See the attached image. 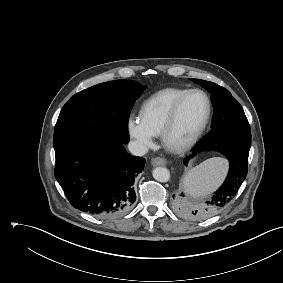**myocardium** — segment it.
<instances>
[{
  "label": "myocardium",
  "instance_id": "f54148a6",
  "mask_svg": "<svg viewBox=\"0 0 283 283\" xmlns=\"http://www.w3.org/2000/svg\"><path fill=\"white\" fill-rule=\"evenodd\" d=\"M193 93H198L201 94L206 101V114L205 117L203 119V122L201 123L200 127L197 129V131L194 133V135L192 137H190L188 140L181 142V143H173L170 140V134L174 128V125L176 123L177 120V116L179 113V110L183 104V102L185 101V99L193 94ZM211 113H212V103L210 100V97L208 96V94L198 88H193V89H188L185 93H183L178 100L175 102V104L173 105L169 116L162 128V131L160 133V137H161V141L162 144L164 145V147L174 153H181L184 152L188 149H190L191 147H193L197 141L200 139V137L202 136V134L204 133L210 118H211Z\"/></svg>",
  "mask_w": 283,
  "mask_h": 283
}]
</instances>
